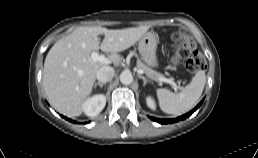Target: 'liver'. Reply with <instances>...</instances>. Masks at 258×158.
Masks as SVG:
<instances>
[{
    "mask_svg": "<svg viewBox=\"0 0 258 158\" xmlns=\"http://www.w3.org/2000/svg\"><path fill=\"white\" fill-rule=\"evenodd\" d=\"M148 26L111 30L102 27H79L58 40L49 50L43 70V87L51 105L68 117L79 116L83 104L92 93L96 74L105 63L90 59L92 52L101 49L111 53L110 63L118 64V52L134 45ZM104 35L101 44L98 36Z\"/></svg>",
    "mask_w": 258,
    "mask_h": 158,
    "instance_id": "6515ba94",
    "label": "liver"
}]
</instances>
